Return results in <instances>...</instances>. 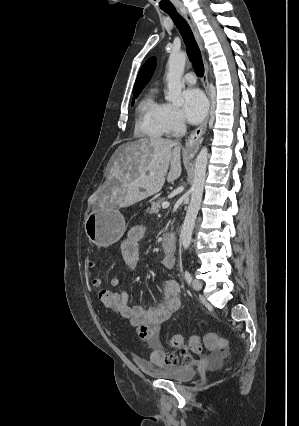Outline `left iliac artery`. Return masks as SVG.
Wrapping results in <instances>:
<instances>
[{"label":"left iliac artery","mask_w":299,"mask_h":426,"mask_svg":"<svg viewBox=\"0 0 299 426\" xmlns=\"http://www.w3.org/2000/svg\"><path fill=\"white\" fill-rule=\"evenodd\" d=\"M184 277H185V279H186V281L188 282V283H191L192 282V276H191V274L189 273V271H185V273H184Z\"/></svg>","instance_id":"44dca946"}]
</instances>
